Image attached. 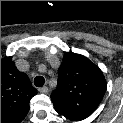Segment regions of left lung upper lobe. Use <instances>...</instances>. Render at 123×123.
I'll use <instances>...</instances> for the list:
<instances>
[{
  "label": "left lung upper lobe",
  "instance_id": "5c2ea615",
  "mask_svg": "<svg viewBox=\"0 0 123 123\" xmlns=\"http://www.w3.org/2000/svg\"><path fill=\"white\" fill-rule=\"evenodd\" d=\"M101 69L87 57L68 52L58 70V86L51 94L55 110L70 120L91 115L106 91Z\"/></svg>",
  "mask_w": 123,
  "mask_h": 123
}]
</instances>
